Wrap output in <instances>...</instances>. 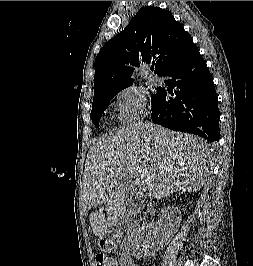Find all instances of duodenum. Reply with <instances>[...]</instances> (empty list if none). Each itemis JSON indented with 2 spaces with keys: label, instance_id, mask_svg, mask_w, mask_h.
Masks as SVG:
<instances>
[{
  "label": "duodenum",
  "instance_id": "duodenum-1",
  "mask_svg": "<svg viewBox=\"0 0 253 266\" xmlns=\"http://www.w3.org/2000/svg\"><path fill=\"white\" fill-rule=\"evenodd\" d=\"M115 238H116V235H115L114 232L108 233V234H106V235L104 236V239H105L107 242H113V241L115 240ZM125 260H126V261H129L130 264L133 263V261L130 260V259H125Z\"/></svg>",
  "mask_w": 253,
  "mask_h": 266
}]
</instances>
